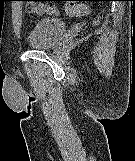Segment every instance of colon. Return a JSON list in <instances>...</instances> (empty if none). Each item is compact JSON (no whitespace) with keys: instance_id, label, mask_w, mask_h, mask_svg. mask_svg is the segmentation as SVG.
Returning <instances> with one entry per match:
<instances>
[{"instance_id":"1","label":"colon","mask_w":135,"mask_h":161,"mask_svg":"<svg viewBox=\"0 0 135 161\" xmlns=\"http://www.w3.org/2000/svg\"><path fill=\"white\" fill-rule=\"evenodd\" d=\"M65 1L64 11L68 16L71 17H83L89 13V6L87 4L77 3L73 0H61ZM100 19L95 21V24H98Z\"/></svg>"}]
</instances>
